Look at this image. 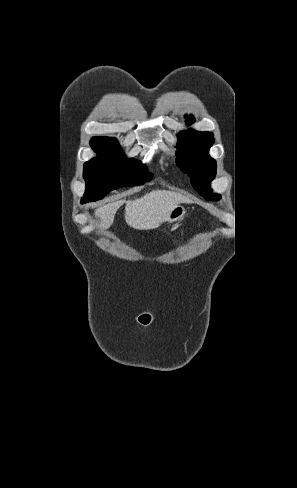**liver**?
<instances>
[{"mask_svg":"<svg viewBox=\"0 0 297 488\" xmlns=\"http://www.w3.org/2000/svg\"><path fill=\"white\" fill-rule=\"evenodd\" d=\"M186 201L188 199L182 194L168 190H153L135 200H120L105 204L95 210V216L101 220L99 227L108 229L114 221L117 210L125 203L126 223L136 230H148L163 222L175 206Z\"/></svg>","mask_w":297,"mask_h":488,"instance_id":"6515ba94","label":"liver"}]
</instances>
